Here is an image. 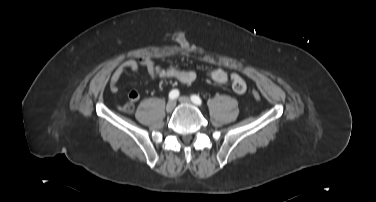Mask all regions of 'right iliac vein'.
<instances>
[{"label": "right iliac vein", "instance_id": "63e3f726", "mask_svg": "<svg viewBox=\"0 0 376 202\" xmlns=\"http://www.w3.org/2000/svg\"><path fill=\"white\" fill-rule=\"evenodd\" d=\"M175 108V101L173 100H170L167 105H166V111L168 113H171L173 111V109Z\"/></svg>", "mask_w": 376, "mask_h": 202}]
</instances>
